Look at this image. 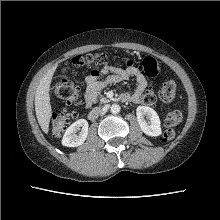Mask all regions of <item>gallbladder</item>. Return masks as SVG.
I'll return each instance as SVG.
<instances>
[{
    "instance_id": "bac80fb5",
    "label": "gallbladder",
    "mask_w": 220,
    "mask_h": 220,
    "mask_svg": "<svg viewBox=\"0 0 220 220\" xmlns=\"http://www.w3.org/2000/svg\"><path fill=\"white\" fill-rule=\"evenodd\" d=\"M66 71V68H63V72H65Z\"/></svg>"
}]
</instances>
